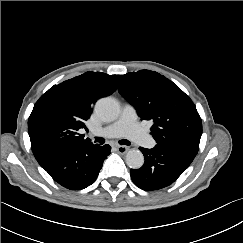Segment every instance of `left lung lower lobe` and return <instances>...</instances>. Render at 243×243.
<instances>
[{"label": "left lung lower lobe", "mask_w": 243, "mask_h": 243, "mask_svg": "<svg viewBox=\"0 0 243 243\" xmlns=\"http://www.w3.org/2000/svg\"><path fill=\"white\" fill-rule=\"evenodd\" d=\"M199 149L192 142L157 144L152 149L140 148L144 165L131 169L133 182L145 191L164 188L172 184L191 164Z\"/></svg>", "instance_id": "0a47b994"}]
</instances>
